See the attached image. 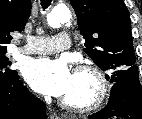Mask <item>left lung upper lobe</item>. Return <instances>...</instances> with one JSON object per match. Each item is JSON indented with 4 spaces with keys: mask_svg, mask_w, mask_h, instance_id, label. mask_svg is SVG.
Wrapping results in <instances>:
<instances>
[{
    "mask_svg": "<svg viewBox=\"0 0 142 119\" xmlns=\"http://www.w3.org/2000/svg\"><path fill=\"white\" fill-rule=\"evenodd\" d=\"M85 39L84 51L110 82L139 78L128 9L123 0H70ZM109 80V76L107 75Z\"/></svg>",
    "mask_w": 142,
    "mask_h": 119,
    "instance_id": "1",
    "label": "left lung upper lobe"
}]
</instances>
